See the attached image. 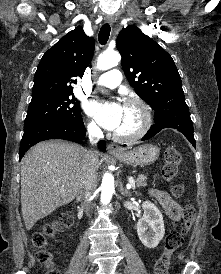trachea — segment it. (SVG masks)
<instances>
[{
	"label": "trachea",
	"instance_id": "1",
	"mask_svg": "<svg viewBox=\"0 0 221 274\" xmlns=\"http://www.w3.org/2000/svg\"><path fill=\"white\" fill-rule=\"evenodd\" d=\"M111 28L108 24H104L99 32V43L105 45L109 39Z\"/></svg>",
	"mask_w": 221,
	"mask_h": 274
}]
</instances>
